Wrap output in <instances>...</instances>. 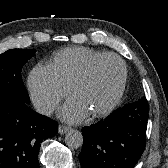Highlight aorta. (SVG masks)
Masks as SVG:
<instances>
[{"label": "aorta", "mask_w": 168, "mask_h": 168, "mask_svg": "<svg viewBox=\"0 0 168 168\" xmlns=\"http://www.w3.org/2000/svg\"><path fill=\"white\" fill-rule=\"evenodd\" d=\"M65 143L71 149H77L83 144V135L80 131L71 129L65 135Z\"/></svg>", "instance_id": "aorta-1"}]
</instances>
